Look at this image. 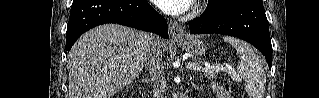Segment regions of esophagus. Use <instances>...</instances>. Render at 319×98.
Returning <instances> with one entry per match:
<instances>
[{
  "instance_id": "obj_1",
  "label": "esophagus",
  "mask_w": 319,
  "mask_h": 98,
  "mask_svg": "<svg viewBox=\"0 0 319 98\" xmlns=\"http://www.w3.org/2000/svg\"><path fill=\"white\" fill-rule=\"evenodd\" d=\"M169 33L171 35L172 41L174 42H179L185 37L183 27L176 21H172L169 23Z\"/></svg>"
}]
</instances>
